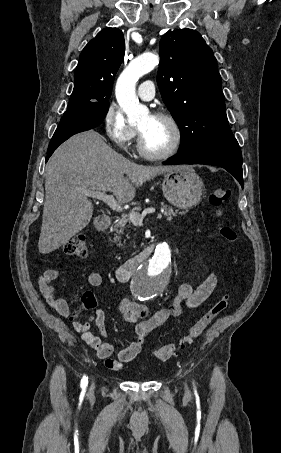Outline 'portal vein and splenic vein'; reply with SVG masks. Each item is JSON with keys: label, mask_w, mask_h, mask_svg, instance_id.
I'll list each match as a JSON object with an SVG mask.
<instances>
[{"label": "portal vein and splenic vein", "mask_w": 281, "mask_h": 453, "mask_svg": "<svg viewBox=\"0 0 281 453\" xmlns=\"http://www.w3.org/2000/svg\"><path fill=\"white\" fill-rule=\"evenodd\" d=\"M83 192L84 194H87V196L103 200V202H106V204H108L110 208H113V210L123 212L121 204L115 200L113 194H106V192H99V190H83ZM152 212H155V208H144V210H142V214H140V212H129V214H125V216H128L131 222H142L145 214H151Z\"/></svg>", "instance_id": "obj_1"}]
</instances>
